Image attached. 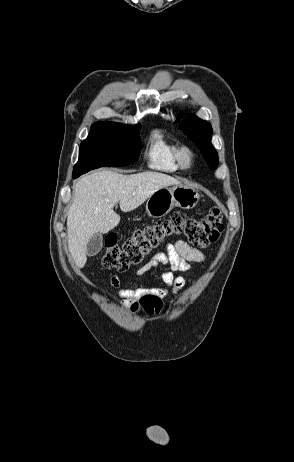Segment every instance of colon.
<instances>
[{"label": "colon", "instance_id": "1", "mask_svg": "<svg viewBox=\"0 0 294 462\" xmlns=\"http://www.w3.org/2000/svg\"><path fill=\"white\" fill-rule=\"evenodd\" d=\"M224 230L223 216L219 208H212L201 218L175 216L137 229L121 246L115 235H109L102 265L106 269L126 271L139 264L153 249L173 235H182L196 247H207L216 242ZM140 305L150 314L162 306L160 297L146 294ZM133 308L137 304H133Z\"/></svg>", "mask_w": 294, "mask_h": 462}]
</instances>
